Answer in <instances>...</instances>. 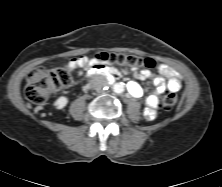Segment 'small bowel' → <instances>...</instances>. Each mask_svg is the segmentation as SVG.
Returning <instances> with one entry per match:
<instances>
[{
  "label": "small bowel",
  "mask_w": 222,
  "mask_h": 187,
  "mask_svg": "<svg viewBox=\"0 0 222 187\" xmlns=\"http://www.w3.org/2000/svg\"><path fill=\"white\" fill-rule=\"evenodd\" d=\"M95 65L93 60L87 57H79L73 59L69 63V68L72 71L82 73L84 69L90 68L93 71ZM134 76L138 80H149L155 90L145 100L144 116L148 120H153L156 117V109L158 107V97L166 90L178 91L182 86L181 77L178 72L166 65H159L156 68L158 75L150 69H132ZM128 91L131 96L139 98L143 95V89L136 81H131L128 84Z\"/></svg>",
  "instance_id": "c3829d8e"
}]
</instances>
